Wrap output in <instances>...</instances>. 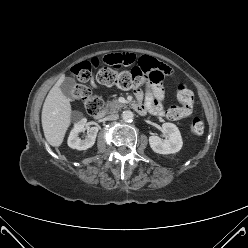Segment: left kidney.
Returning <instances> with one entry per match:
<instances>
[{"label":"left kidney","mask_w":248,"mask_h":248,"mask_svg":"<svg viewBox=\"0 0 248 248\" xmlns=\"http://www.w3.org/2000/svg\"><path fill=\"white\" fill-rule=\"evenodd\" d=\"M162 128L168 139L162 140L158 136H150L149 144L151 149L159 154H174L180 151L183 142L178 127L173 123H164Z\"/></svg>","instance_id":"1"}]
</instances>
